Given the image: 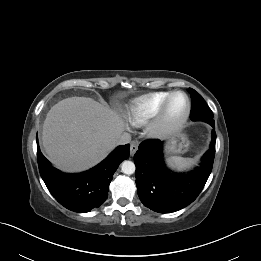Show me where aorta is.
<instances>
[{"instance_id": "obj_1", "label": "aorta", "mask_w": 261, "mask_h": 261, "mask_svg": "<svg viewBox=\"0 0 261 261\" xmlns=\"http://www.w3.org/2000/svg\"><path fill=\"white\" fill-rule=\"evenodd\" d=\"M121 170L124 174L131 175L135 172V164L132 161H124Z\"/></svg>"}]
</instances>
